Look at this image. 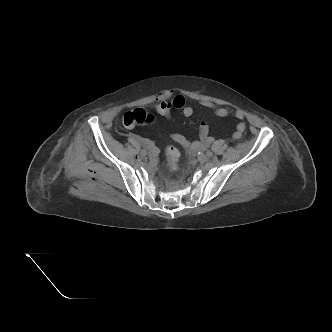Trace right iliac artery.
<instances>
[{
  "label": "right iliac artery",
  "instance_id": "obj_1",
  "mask_svg": "<svg viewBox=\"0 0 332 332\" xmlns=\"http://www.w3.org/2000/svg\"><path fill=\"white\" fill-rule=\"evenodd\" d=\"M141 146H142L143 148H146V149H150V148H151V146H150V144H149L148 142H142V143H141Z\"/></svg>",
  "mask_w": 332,
  "mask_h": 332
}]
</instances>
